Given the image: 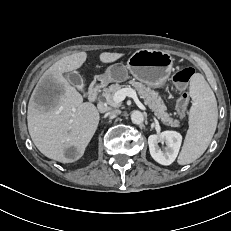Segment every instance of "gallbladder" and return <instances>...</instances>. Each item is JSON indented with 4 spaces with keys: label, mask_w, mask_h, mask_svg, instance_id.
<instances>
[{
    "label": "gallbladder",
    "mask_w": 231,
    "mask_h": 231,
    "mask_svg": "<svg viewBox=\"0 0 231 231\" xmlns=\"http://www.w3.org/2000/svg\"><path fill=\"white\" fill-rule=\"evenodd\" d=\"M67 79H68V81H69L70 84H72L73 86L77 87L78 89H82L83 86H84L82 76L78 72H76V71L70 72L67 75Z\"/></svg>",
    "instance_id": "1"
}]
</instances>
